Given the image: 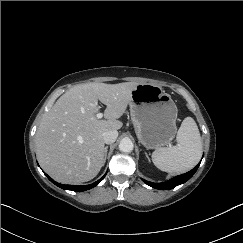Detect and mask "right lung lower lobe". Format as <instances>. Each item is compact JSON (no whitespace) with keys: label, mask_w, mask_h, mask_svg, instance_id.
Segmentation results:
<instances>
[{"label":"right lung lower lobe","mask_w":243,"mask_h":243,"mask_svg":"<svg viewBox=\"0 0 243 243\" xmlns=\"http://www.w3.org/2000/svg\"><path fill=\"white\" fill-rule=\"evenodd\" d=\"M48 179L54 183L55 185H57L58 187L64 189V190H72V191H78V192H81V191H85V190H88V189H91L93 187H95L96 185H98L103 179L104 177L106 176V174L101 178L99 179L98 181L94 182L93 184H90V185H84V186H81V185H63V184H60V183H57L55 182L53 179H51L47 174H45Z\"/></svg>","instance_id":"98d812e1"}]
</instances>
